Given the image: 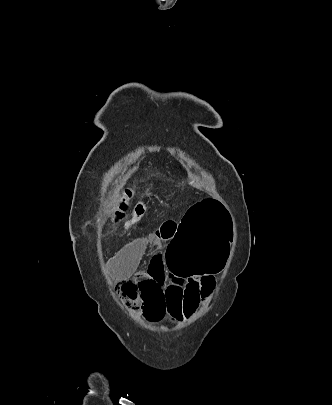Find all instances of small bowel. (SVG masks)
I'll use <instances>...</instances> for the list:
<instances>
[{"label": "small bowel", "mask_w": 332, "mask_h": 405, "mask_svg": "<svg viewBox=\"0 0 332 405\" xmlns=\"http://www.w3.org/2000/svg\"><path fill=\"white\" fill-rule=\"evenodd\" d=\"M132 217H146V204L137 203ZM175 240V221L166 222L147 237L125 244L108 259L112 272L120 280L135 278L142 302L141 320L146 326H160L161 320L181 321L189 318L212 291L213 275H173L165 269L164 244ZM148 246L152 254L146 267L137 272Z\"/></svg>", "instance_id": "small-bowel-1"}]
</instances>
